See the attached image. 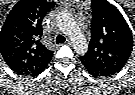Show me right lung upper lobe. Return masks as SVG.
<instances>
[{"label": "right lung upper lobe", "mask_w": 135, "mask_h": 95, "mask_svg": "<svg viewBox=\"0 0 135 95\" xmlns=\"http://www.w3.org/2000/svg\"><path fill=\"white\" fill-rule=\"evenodd\" d=\"M43 11L15 7L0 33V52L6 63L20 73L39 74L50 62L52 52L42 43Z\"/></svg>", "instance_id": "right-lung-upper-lobe-1"}]
</instances>
